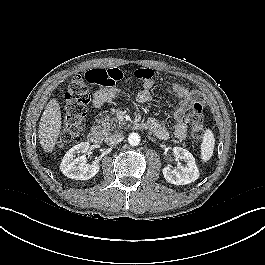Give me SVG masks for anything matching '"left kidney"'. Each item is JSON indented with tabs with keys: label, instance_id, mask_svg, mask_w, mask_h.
Returning a JSON list of instances; mask_svg holds the SVG:
<instances>
[{
	"label": "left kidney",
	"instance_id": "obj_1",
	"mask_svg": "<svg viewBox=\"0 0 265 265\" xmlns=\"http://www.w3.org/2000/svg\"><path fill=\"white\" fill-rule=\"evenodd\" d=\"M173 153L177 158L185 161L187 167L181 166L174 169L170 165L164 167L162 173L166 181L174 185H185L196 181L199 178V170L193 155L181 147H174Z\"/></svg>",
	"mask_w": 265,
	"mask_h": 265
}]
</instances>
